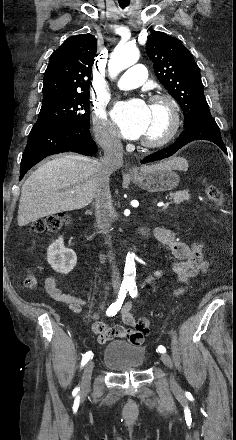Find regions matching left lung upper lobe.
<instances>
[{"label": "left lung upper lobe", "mask_w": 236, "mask_h": 440, "mask_svg": "<svg viewBox=\"0 0 236 440\" xmlns=\"http://www.w3.org/2000/svg\"><path fill=\"white\" fill-rule=\"evenodd\" d=\"M146 51L158 80L180 104L185 128L210 113L199 68L180 40L154 32L147 40Z\"/></svg>", "instance_id": "1"}]
</instances>
